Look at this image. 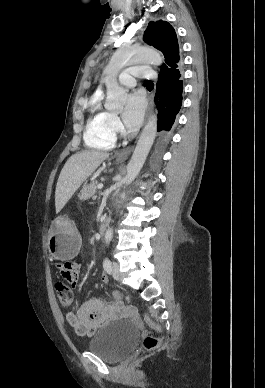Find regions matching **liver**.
Returning a JSON list of instances; mask_svg holds the SVG:
<instances>
[{"mask_svg": "<svg viewBox=\"0 0 265 388\" xmlns=\"http://www.w3.org/2000/svg\"><path fill=\"white\" fill-rule=\"evenodd\" d=\"M108 152L100 150H84L74 154L67 160L58 178L55 192L56 214L61 212L81 184L99 168L100 164L109 158Z\"/></svg>", "mask_w": 265, "mask_h": 388, "instance_id": "6515ba94", "label": "liver"}]
</instances>
